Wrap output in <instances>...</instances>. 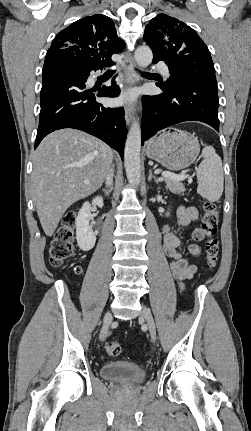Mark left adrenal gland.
Masks as SVG:
<instances>
[{
	"label": "left adrenal gland",
	"instance_id": "1",
	"mask_svg": "<svg viewBox=\"0 0 251 431\" xmlns=\"http://www.w3.org/2000/svg\"><path fill=\"white\" fill-rule=\"evenodd\" d=\"M151 179H154V181H155L156 183H158V180H157L156 176H155V175H153L152 170H151V169H149L148 181H151Z\"/></svg>",
	"mask_w": 251,
	"mask_h": 431
}]
</instances>
